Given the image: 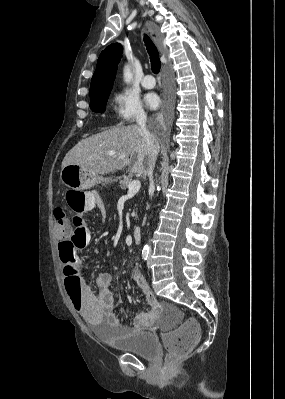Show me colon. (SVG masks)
<instances>
[{
  "label": "colon",
  "mask_w": 285,
  "mask_h": 399,
  "mask_svg": "<svg viewBox=\"0 0 285 399\" xmlns=\"http://www.w3.org/2000/svg\"><path fill=\"white\" fill-rule=\"evenodd\" d=\"M67 205L73 212V217L69 221L70 235L59 243V256L66 264V270H70L75 265L77 252L83 248L91 239V233L84 220V206L86 195L84 192L69 191L66 195ZM67 221L66 217L60 218L59 223ZM66 291L71 296L75 306L79 305L81 288L78 282L70 279L65 281ZM200 338L199 325L193 320H187L174 329L166 331L163 335L164 342L168 347L166 356L167 363H171L181 356L188 354Z\"/></svg>",
  "instance_id": "5ec220e1"
}]
</instances>
